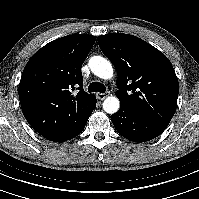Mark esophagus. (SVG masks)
<instances>
[{
  "label": "esophagus",
  "instance_id": "1",
  "mask_svg": "<svg viewBox=\"0 0 199 199\" xmlns=\"http://www.w3.org/2000/svg\"><path fill=\"white\" fill-rule=\"evenodd\" d=\"M110 93L106 92V93H97L96 96L98 99L103 100L104 98H106Z\"/></svg>",
  "mask_w": 199,
  "mask_h": 199
}]
</instances>
